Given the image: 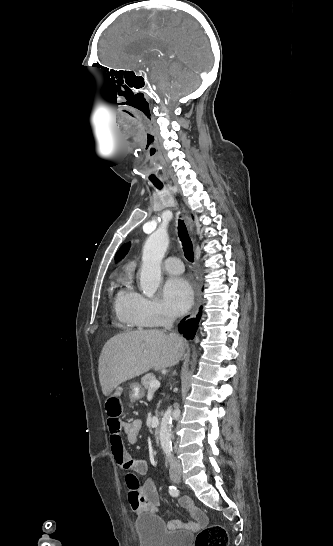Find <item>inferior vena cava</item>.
<instances>
[{
	"mask_svg": "<svg viewBox=\"0 0 333 546\" xmlns=\"http://www.w3.org/2000/svg\"><path fill=\"white\" fill-rule=\"evenodd\" d=\"M173 322L174 320L172 317L166 316L163 321V327L166 330H171L173 327ZM171 466L173 468L180 467V462L174 456H172Z\"/></svg>",
	"mask_w": 333,
	"mask_h": 546,
	"instance_id": "602c4592",
	"label": "inferior vena cava"
}]
</instances>
